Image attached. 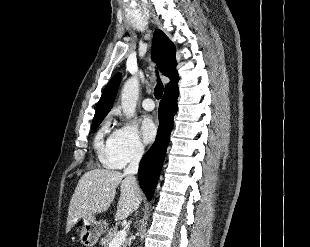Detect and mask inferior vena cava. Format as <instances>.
I'll list each match as a JSON object with an SVG mask.
<instances>
[{
  "label": "inferior vena cava",
  "instance_id": "1",
  "mask_svg": "<svg viewBox=\"0 0 310 247\" xmlns=\"http://www.w3.org/2000/svg\"><path fill=\"white\" fill-rule=\"evenodd\" d=\"M143 153H144L143 145L137 144L131 154L130 163L128 167L124 170V174L133 178L135 182L137 181L134 175L137 174L138 172L139 162L143 156Z\"/></svg>",
  "mask_w": 310,
  "mask_h": 247
}]
</instances>
